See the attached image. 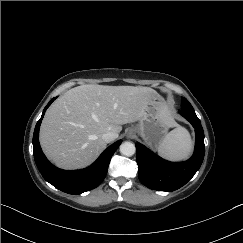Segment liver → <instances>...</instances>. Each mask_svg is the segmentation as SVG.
Here are the masks:
<instances>
[{
    "label": "liver",
    "mask_w": 243,
    "mask_h": 243,
    "mask_svg": "<svg viewBox=\"0 0 243 243\" xmlns=\"http://www.w3.org/2000/svg\"><path fill=\"white\" fill-rule=\"evenodd\" d=\"M153 90L142 86L86 84L60 96L47 110L40 128L46 156L64 169L83 168L105 149L102 135L116 138L127 123L139 121Z\"/></svg>",
    "instance_id": "liver-1"
}]
</instances>
